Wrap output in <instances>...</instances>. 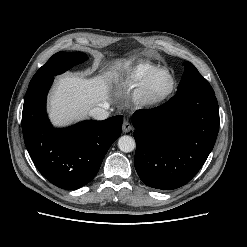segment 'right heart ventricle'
I'll return each mask as SVG.
<instances>
[{
    "label": "right heart ventricle",
    "mask_w": 247,
    "mask_h": 247,
    "mask_svg": "<svg viewBox=\"0 0 247 247\" xmlns=\"http://www.w3.org/2000/svg\"><path fill=\"white\" fill-rule=\"evenodd\" d=\"M157 67L149 61H139L128 67L120 77V84L125 87H135L141 78L151 69Z\"/></svg>",
    "instance_id": "e07e8e85"
}]
</instances>
